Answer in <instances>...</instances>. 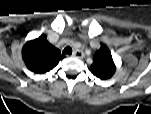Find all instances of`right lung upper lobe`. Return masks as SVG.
<instances>
[{"label": "right lung upper lobe", "instance_id": "cb5924a9", "mask_svg": "<svg viewBox=\"0 0 151 114\" xmlns=\"http://www.w3.org/2000/svg\"><path fill=\"white\" fill-rule=\"evenodd\" d=\"M22 58L30 71L43 74L53 69L63 56L47 41L46 35H41L23 46Z\"/></svg>", "mask_w": 151, "mask_h": 114}]
</instances>
